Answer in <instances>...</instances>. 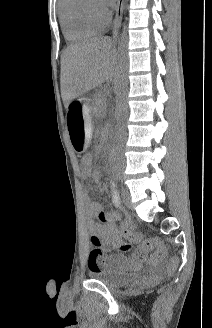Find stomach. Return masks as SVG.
I'll return each instance as SVG.
<instances>
[{"label": "stomach", "instance_id": "obj_1", "mask_svg": "<svg viewBox=\"0 0 212 328\" xmlns=\"http://www.w3.org/2000/svg\"><path fill=\"white\" fill-rule=\"evenodd\" d=\"M81 100V99H79ZM90 102H67L64 127L76 152L84 151L90 139Z\"/></svg>", "mask_w": 212, "mask_h": 328}]
</instances>
